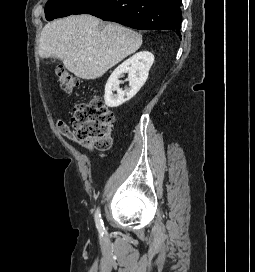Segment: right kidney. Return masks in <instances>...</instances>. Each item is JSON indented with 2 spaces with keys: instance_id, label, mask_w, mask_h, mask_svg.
I'll return each mask as SVG.
<instances>
[{
  "instance_id": "obj_1",
  "label": "right kidney",
  "mask_w": 255,
  "mask_h": 272,
  "mask_svg": "<svg viewBox=\"0 0 255 272\" xmlns=\"http://www.w3.org/2000/svg\"><path fill=\"white\" fill-rule=\"evenodd\" d=\"M154 62V55L148 51L136 53L110 75L106 86L104 100L108 107L115 108L130 100L141 89L148 78L149 70ZM124 73H128L129 88H119L118 80ZM116 91L117 94L113 92Z\"/></svg>"
}]
</instances>
